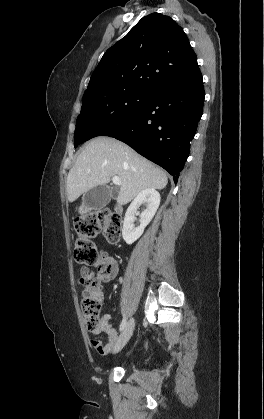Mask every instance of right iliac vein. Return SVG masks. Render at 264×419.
Segmentation results:
<instances>
[{"label": "right iliac vein", "mask_w": 264, "mask_h": 419, "mask_svg": "<svg viewBox=\"0 0 264 419\" xmlns=\"http://www.w3.org/2000/svg\"><path fill=\"white\" fill-rule=\"evenodd\" d=\"M134 326H135L134 319L131 318L127 322V324L125 325V327H124V329H123V331H122V333H121V335H120V337L117 341V344H116L115 349H114L115 352L120 351L127 344L130 337L132 336Z\"/></svg>", "instance_id": "obj_1"}]
</instances>
